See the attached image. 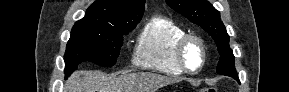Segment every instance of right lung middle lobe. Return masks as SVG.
<instances>
[{
	"label": "right lung middle lobe",
	"mask_w": 289,
	"mask_h": 92,
	"mask_svg": "<svg viewBox=\"0 0 289 92\" xmlns=\"http://www.w3.org/2000/svg\"><path fill=\"white\" fill-rule=\"evenodd\" d=\"M135 26H73L64 56L65 76L68 77L83 61L107 67L115 65L123 43V35L132 31Z\"/></svg>",
	"instance_id": "obj_1"
}]
</instances>
